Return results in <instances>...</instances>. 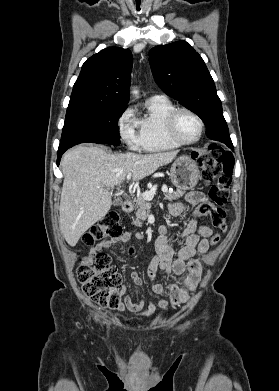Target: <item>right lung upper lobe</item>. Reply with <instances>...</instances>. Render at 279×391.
<instances>
[{
	"label": "right lung upper lobe",
	"mask_w": 279,
	"mask_h": 391,
	"mask_svg": "<svg viewBox=\"0 0 279 391\" xmlns=\"http://www.w3.org/2000/svg\"><path fill=\"white\" fill-rule=\"evenodd\" d=\"M132 54L129 49L109 47L82 65L68 110L94 106L126 107L129 101Z\"/></svg>",
	"instance_id": "right-lung-upper-lobe-1"
}]
</instances>
